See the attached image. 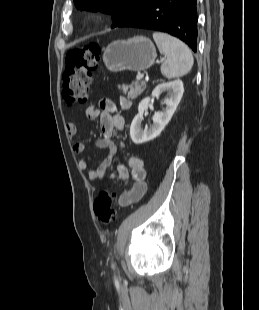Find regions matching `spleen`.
Wrapping results in <instances>:
<instances>
[{"label": "spleen", "instance_id": "1", "mask_svg": "<svg viewBox=\"0 0 259 310\" xmlns=\"http://www.w3.org/2000/svg\"><path fill=\"white\" fill-rule=\"evenodd\" d=\"M153 39L167 58L161 65V73L166 78L186 75L192 69L194 59L190 49L179 39L161 32L153 33Z\"/></svg>", "mask_w": 259, "mask_h": 310}]
</instances>
